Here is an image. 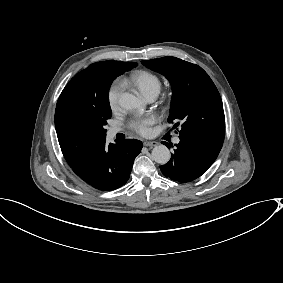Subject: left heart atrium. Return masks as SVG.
<instances>
[{"label": "left heart atrium", "instance_id": "1", "mask_svg": "<svg viewBox=\"0 0 283 283\" xmlns=\"http://www.w3.org/2000/svg\"><path fill=\"white\" fill-rule=\"evenodd\" d=\"M154 122L153 117H147L143 119H133L131 121V126L133 129H135L137 132L141 134H148L150 131V125Z\"/></svg>", "mask_w": 283, "mask_h": 283}]
</instances>
